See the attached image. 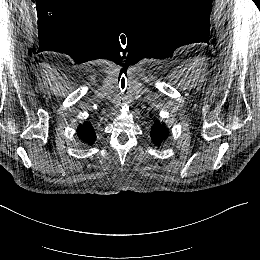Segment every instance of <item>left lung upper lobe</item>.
<instances>
[{"label": "left lung upper lobe", "instance_id": "1", "mask_svg": "<svg viewBox=\"0 0 260 260\" xmlns=\"http://www.w3.org/2000/svg\"><path fill=\"white\" fill-rule=\"evenodd\" d=\"M169 129L165 123L156 121L150 131V137L155 145L160 146L161 143L168 137Z\"/></svg>", "mask_w": 260, "mask_h": 260}]
</instances>
